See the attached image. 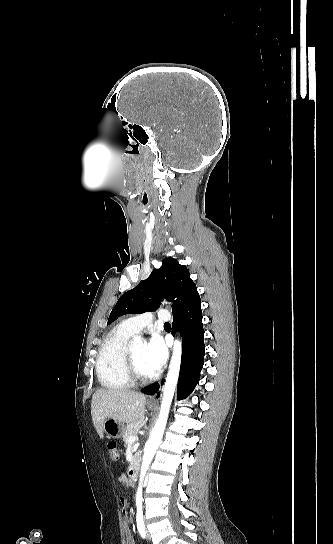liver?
I'll use <instances>...</instances> for the list:
<instances>
[{"mask_svg":"<svg viewBox=\"0 0 333 544\" xmlns=\"http://www.w3.org/2000/svg\"><path fill=\"white\" fill-rule=\"evenodd\" d=\"M146 396L127 389H99L91 401V415L94 427L103 438L104 421L108 418L134 423L144 416Z\"/></svg>","mask_w":333,"mask_h":544,"instance_id":"1","label":"liver"}]
</instances>
